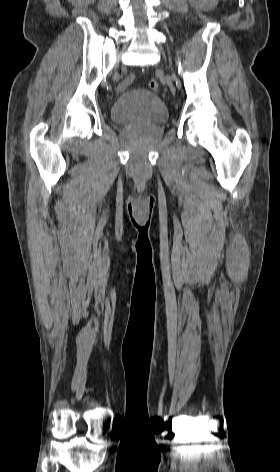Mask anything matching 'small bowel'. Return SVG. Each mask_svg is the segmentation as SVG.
<instances>
[{"label": "small bowel", "instance_id": "1", "mask_svg": "<svg viewBox=\"0 0 280 472\" xmlns=\"http://www.w3.org/2000/svg\"><path fill=\"white\" fill-rule=\"evenodd\" d=\"M134 78H135L134 75L132 74L128 75L120 84V90L126 89L134 81Z\"/></svg>", "mask_w": 280, "mask_h": 472}]
</instances>
